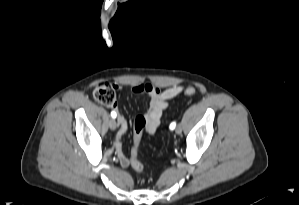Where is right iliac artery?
Masks as SVG:
<instances>
[{"mask_svg":"<svg viewBox=\"0 0 299 205\" xmlns=\"http://www.w3.org/2000/svg\"><path fill=\"white\" fill-rule=\"evenodd\" d=\"M116 116H117L116 112L112 111V112H111V117H112V118H116Z\"/></svg>","mask_w":299,"mask_h":205,"instance_id":"82829eb1","label":"right iliac artery"}]
</instances>
